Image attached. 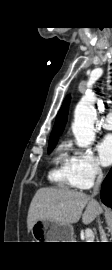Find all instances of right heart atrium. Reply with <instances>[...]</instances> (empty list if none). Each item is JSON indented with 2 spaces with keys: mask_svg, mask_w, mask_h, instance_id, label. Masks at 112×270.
<instances>
[{
  "mask_svg": "<svg viewBox=\"0 0 112 270\" xmlns=\"http://www.w3.org/2000/svg\"><path fill=\"white\" fill-rule=\"evenodd\" d=\"M72 154L69 158L73 184L78 189H88L103 176L99 160L90 149H76L68 145Z\"/></svg>",
  "mask_w": 112,
  "mask_h": 270,
  "instance_id": "obj_1",
  "label": "right heart atrium"
}]
</instances>
